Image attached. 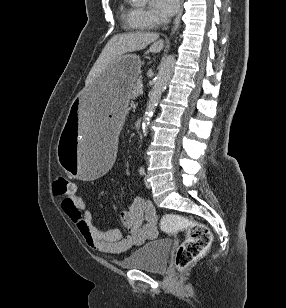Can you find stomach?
Returning <instances> with one entry per match:
<instances>
[{"mask_svg": "<svg viewBox=\"0 0 286 308\" xmlns=\"http://www.w3.org/2000/svg\"><path fill=\"white\" fill-rule=\"evenodd\" d=\"M140 68L138 56L123 55L72 100L56 147L61 168L77 182H100L117 159L115 129L124 125L122 115Z\"/></svg>", "mask_w": 286, "mask_h": 308, "instance_id": "obj_1", "label": "stomach"}]
</instances>
